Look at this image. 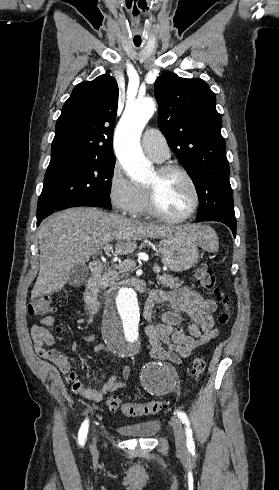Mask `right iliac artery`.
Returning a JSON list of instances; mask_svg holds the SVG:
<instances>
[{
	"mask_svg": "<svg viewBox=\"0 0 279 490\" xmlns=\"http://www.w3.org/2000/svg\"><path fill=\"white\" fill-rule=\"evenodd\" d=\"M88 427H89V423H88V420L86 419L82 423L81 428H80L79 433H78V441H79V444L81 446H83L85 443V439H86V436L88 433Z\"/></svg>",
	"mask_w": 279,
	"mask_h": 490,
	"instance_id": "82829eb1",
	"label": "right iliac artery"
}]
</instances>
